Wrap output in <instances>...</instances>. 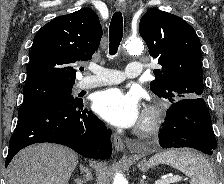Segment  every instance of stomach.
<instances>
[{
	"instance_id": "1",
	"label": "stomach",
	"mask_w": 224,
	"mask_h": 184,
	"mask_svg": "<svg viewBox=\"0 0 224 184\" xmlns=\"http://www.w3.org/2000/svg\"><path fill=\"white\" fill-rule=\"evenodd\" d=\"M138 168L141 170V171H147L149 169V166H148V163H146L145 161H140L138 163Z\"/></svg>"
}]
</instances>
